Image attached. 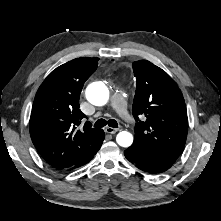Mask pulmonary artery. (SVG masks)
Wrapping results in <instances>:
<instances>
[{
    "label": "pulmonary artery",
    "instance_id": "obj_1",
    "mask_svg": "<svg viewBox=\"0 0 221 221\" xmlns=\"http://www.w3.org/2000/svg\"><path fill=\"white\" fill-rule=\"evenodd\" d=\"M111 106L125 122L132 123V118L127 110L125 94L123 91L117 90L113 93Z\"/></svg>",
    "mask_w": 221,
    "mask_h": 221
}]
</instances>
